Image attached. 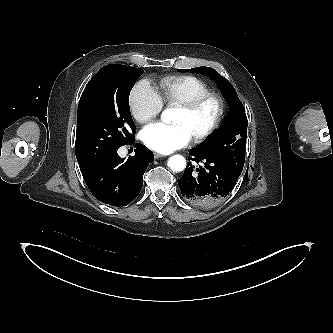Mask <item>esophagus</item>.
Masks as SVG:
<instances>
[{"instance_id": "esophagus-1", "label": "esophagus", "mask_w": 333, "mask_h": 333, "mask_svg": "<svg viewBox=\"0 0 333 333\" xmlns=\"http://www.w3.org/2000/svg\"><path fill=\"white\" fill-rule=\"evenodd\" d=\"M154 157H155V159H159V158L164 157V156L160 153H154Z\"/></svg>"}]
</instances>
